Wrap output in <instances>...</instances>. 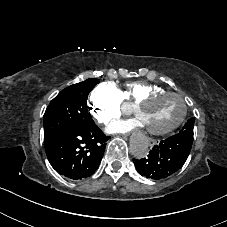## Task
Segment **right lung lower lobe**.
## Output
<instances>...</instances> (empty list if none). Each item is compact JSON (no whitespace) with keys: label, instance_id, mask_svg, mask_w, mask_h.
Segmentation results:
<instances>
[{"label":"right lung lower lobe","instance_id":"obj_1","mask_svg":"<svg viewBox=\"0 0 227 227\" xmlns=\"http://www.w3.org/2000/svg\"><path fill=\"white\" fill-rule=\"evenodd\" d=\"M108 139L93 123L62 130L44 140V146L50 164L59 174L82 179L98 169Z\"/></svg>","mask_w":227,"mask_h":227}]
</instances>
